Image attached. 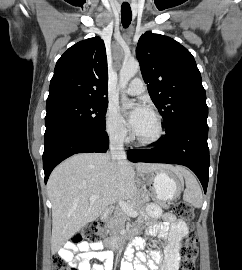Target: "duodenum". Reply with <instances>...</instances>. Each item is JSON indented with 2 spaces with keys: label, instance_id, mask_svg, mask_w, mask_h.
I'll list each match as a JSON object with an SVG mask.
<instances>
[{
  "label": "duodenum",
  "instance_id": "duodenum-1",
  "mask_svg": "<svg viewBox=\"0 0 242 270\" xmlns=\"http://www.w3.org/2000/svg\"><path fill=\"white\" fill-rule=\"evenodd\" d=\"M110 214V210L106 209L102 215H101V219L103 221H106L109 217ZM132 239L131 235H124V236H113L112 238H110L107 243L108 245L112 248V249H119L120 247L123 246V244L127 241H130Z\"/></svg>",
  "mask_w": 242,
  "mask_h": 270
}]
</instances>
